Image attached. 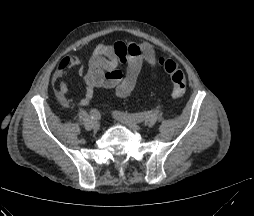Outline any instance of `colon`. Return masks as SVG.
<instances>
[{
    "instance_id": "colon-1",
    "label": "colon",
    "mask_w": 254,
    "mask_h": 216,
    "mask_svg": "<svg viewBox=\"0 0 254 216\" xmlns=\"http://www.w3.org/2000/svg\"><path fill=\"white\" fill-rule=\"evenodd\" d=\"M157 63L170 78L172 97L175 99L182 98L186 92V80L183 72L173 60L161 57L158 58Z\"/></svg>"
}]
</instances>
